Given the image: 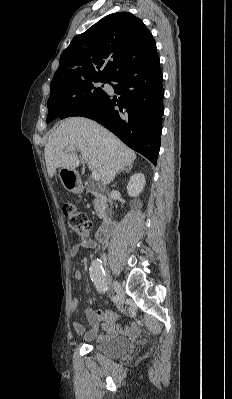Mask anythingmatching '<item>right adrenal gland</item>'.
<instances>
[{
    "instance_id": "obj_1",
    "label": "right adrenal gland",
    "mask_w": 232,
    "mask_h": 399,
    "mask_svg": "<svg viewBox=\"0 0 232 399\" xmlns=\"http://www.w3.org/2000/svg\"><path fill=\"white\" fill-rule=\"evenodd\" d=\"M133 166L132 164H130V166H127V168H121V170H118V172H116V174H120V172H126V174H129V172H131Z\"/></svg>"
}]
</instances>
